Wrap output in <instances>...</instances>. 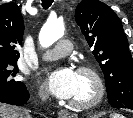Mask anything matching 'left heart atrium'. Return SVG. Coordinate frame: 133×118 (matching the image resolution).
<instances>
[{
    "label": "left heart atrium",
    "mask_w": 133,
    "mask_h": 118,
    "mask_svg": "<svg viewBox=\"0 0 133 118\" xmlns=\"http://www.w3.org/2000/svg\"><path fill=\"white\" fill-rule=\"evenodd\" d=\"M47 87L59 99H72L78 88V74L67 67L57 69L48 76Z\"/></svg>",
    "instance_id": "obj_1"
}]
</instances>
